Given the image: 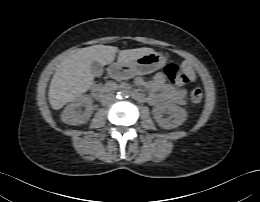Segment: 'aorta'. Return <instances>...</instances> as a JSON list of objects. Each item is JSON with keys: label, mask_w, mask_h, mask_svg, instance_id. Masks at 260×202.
Segmentation results:
<instances>
[{"label": "aorta", "mask_w": 260, "mask_h": 202, "mask_svg": "<svg viewBox=\"0 0 260 202\" xmlns=\"http://www.w3.org/2000/svg\"><path fill=\"white\" fill-rule=\"evenodd\" d=\"M117 97L120 98V99L121 98H127L128 97V92L125 91V90L119 91Z\"/></svg>", "instance_id": "aorta-1"}]
</instances>
